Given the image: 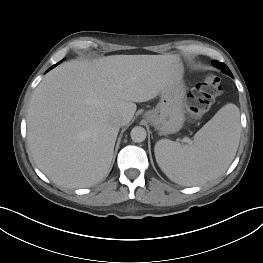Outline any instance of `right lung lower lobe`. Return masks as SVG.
I'll return each instance as SVG.
<instances>
[{
  "label": "right lung lower lobe",
  "instance_id": "98d812e1",
  "mask_svg": "<svg viewBox=\"0 0 263 263\" xmlns=\"http://www.w3.org/2000/svg\"><path fill=\"white\" fill-rule=\"evenodd\" d=\"M55 66H57V64H55L54 66H52L49 70H51V69L54 68Z\"/></svg>",
  "mask_w": 263,
  "mask_h": 263
}]
</instances>
